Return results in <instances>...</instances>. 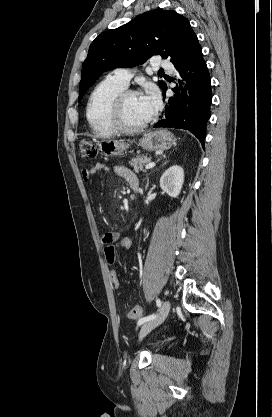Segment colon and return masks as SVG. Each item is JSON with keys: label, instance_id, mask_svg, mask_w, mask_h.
<instances>
[{"label": "colon", "instance_id": "5ec220e1", "mask_svg": "<svg viewBox=\"0 0 272 417\" xmlns=\"http://www.w3.org/2000/svg\"><path fill=\"white\" fill-rule=\"evenodd\" d=\"M79 153L82 157L94 158L97 154V149L90 140L82 139L79 143ZM130 246L131 240L126 236H118L105 246V257L108 264L111 266L110 278L112 285L116 290L120 288L118 272L114 267L116 257L118 253L127 251ZM141 313V306L135 305L130 311H128L127 316L129 319H136L141 315Z\"/></svg>", "mask_w": 272, "mask_h": 417}]
</instances>
